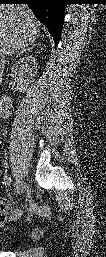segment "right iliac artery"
Returning <instances> with one entry per match:
<instances>
[{"instance_id": "82829eb1", "label": "right iliac artery", "mask_w": 106, "mask_h": 257, "mask_svg": "<svg viewBox=\"0 0 106 257\" xmlns=\"http://www.w3.org/2000/svg\"><path fill=\"white\" fill-rule=\"evenodd\" d=\"M8 181H9L10 184H12L14 194L18 193V190H19L18 182L17 181L13 182L10 177L8 178Z\"/></svg>"}]
</instances>
